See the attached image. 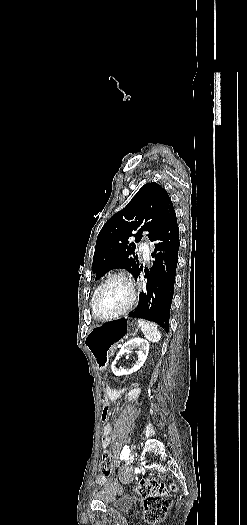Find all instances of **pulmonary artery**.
Listing matches in <instances>:
<instances>
[{"label": "pulmonary artery", "mask_w": 247, "mask_h": 525, "mask_svg": "<svg viewBox=\"0 0 247 525\" xmlns=\"http://www.w3.org/2000/svg\"><path fill=\"white\" fill-rule=\"evenodd\" d=\"M152 251L153 249H152V246L150 245L149 239L146 236L143 237L139 245V252H140L141 259L144 260V263L146 265H149L151 263L150 253H152Z\"/></svg>", "instance_id": "1"}]
</instances>
